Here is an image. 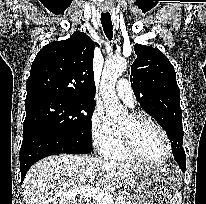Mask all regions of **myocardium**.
I'll return each instance as SVG.
<instances>
[{
  "instance_id": "1",
  "label": "myocardium",
  "mask_w": 206,
  "mask_h": 204,
  "mask_svg": "<svg viewBox=\"0 0 206 204\" xmlns=\"http://www.w3.org/2000/svg\"><path fill=\"white\" fill-rule=\"evenodd\" d=\"M129 119H130L131 127H135L141 123H149L153 127H155L165 139V142L167 145V155L163 159H160V160H151V159L146 158L137 149L135 142H134L132 130L128 128H122L119 126L118 130L120 133L121 141L127 153L130 154L136 160L147 163V164H151V165H161L169 161L173 155V147H172L170 137L168 133L166 132V130L154 119L144 114L132 113L129 115Z\"/></svg>"
}]
</instances>
